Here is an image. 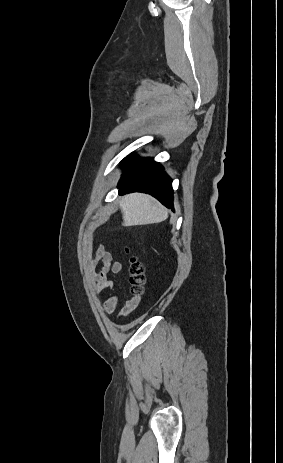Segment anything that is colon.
Here are the masks:
<instances>
[{"label":"colon","mask_w":283,"mask_h":463,"mask_svg":"<svg viewBox=\"0 0 283 463\" xmlns=\"http://www.w3.org/2000/svg\"><path fill=\"white\" fill-rule=\"evenodd\" d=\"M129 276H130V293L134 299L139 298L146 283L145 269L143 264L132 257L129 263Z\"/></svg>","instance_id":"colon-1"}]
</instances>
